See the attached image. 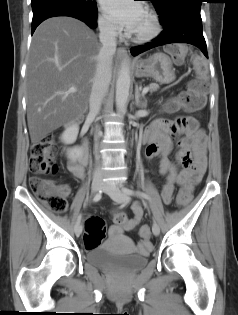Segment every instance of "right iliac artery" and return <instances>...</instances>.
<instances>
[{
    "instance_id": "82829eb1",
    "label": "right iliac artery",
    "mask_w": 238,
    "mask_h": 315,
    "mask_svg": "<svg viewBox=\"0 0 238 315\" xmlns=\"http://www.w3.org/2000/svg\"><path fill=\"white\" fill-rule=\"evenodd\" d=\"M101 192H99V193H97L95 196H94V198H93V201L94 202H97V201H99L100 199H101ZM81 218H82V216H81V214L77 217V223H80V221H81Z\"/></svg>"
}]
</instances>
